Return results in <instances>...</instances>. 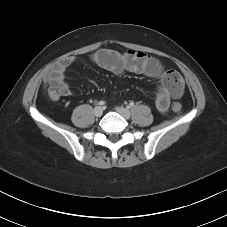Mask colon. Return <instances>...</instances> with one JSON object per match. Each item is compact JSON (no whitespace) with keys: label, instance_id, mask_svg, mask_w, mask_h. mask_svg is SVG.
I'll use <instances>...</instances> for the list:
<instances>
[{"label":"colon","instance_id":"obj_1","mask_svg":"<svg viewBox=\"0 0 227 227\" xmlns=\"http://www.w3.org/2000/svg\"><path fill=\"white\" fill-rule=\"evenodd\" d=\"M166 78L168 80H174V81H179L181 79L180 75L173 70L166 72ZM171 108H172V111L177 114L182 113V110H183V106L179 102H173Z\"/></svg>","mask_w":227,"mask_h":227}]
</instances>
